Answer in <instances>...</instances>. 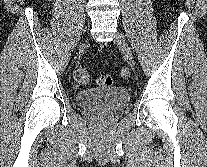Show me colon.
<instances>
[{"mask_svg":"<svg viewBox=\"0 0 207 167\" xmlns=\"http://www.w3.org/2000/svg\"><path fill=\"white\" fill-rule=\"evenodd\" d=\"M121 76L123 78H129L131 72L128 68L121 69ZM74 79L80 85H86L90 81V75L85 68H78L74 72ZM97 82L100 86L112 87L114 85V78L111 75H101L98 77Z\"/></svg>","mask_w":207,"mask_h":167,"instance_id":"colon-1","label":"colon"}]
</instances>
